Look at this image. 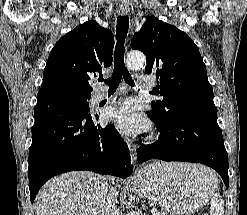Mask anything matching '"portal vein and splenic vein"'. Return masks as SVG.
Listing matches in <instances>:
<instances>
[{"label":"portal vein and splenic vein","mask_w":247,"mask_h":215,"mask_svg":"<svg viewBox=\"0 0 247 215\" xmlns=\"http://www.w3.org/2000/svg\"><path fill=\"white\" fill-rule=\"evenodd\" d=\"M151 214L152 215H160V212H158L157 210L152 209L151 210Z\"/></svg>","instance_id":"obj_1"}]
</instances>
